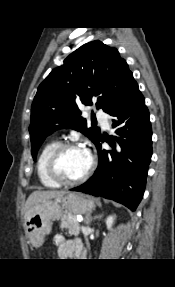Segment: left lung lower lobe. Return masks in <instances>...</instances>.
Here are the masks:
<instances>
[{
    "label": "left lung lower lobe",
    "instance_id": "0a47b994",
    "mask_svg": "<svg viewBox=\"0 0 175 287\" xmlns=\"http://www.w3.org/2000/svg\"><path fill=\"white\" fill-rule=\"evenodd\" d=\"M111 116L117 136L108 140L113 150L96 144L98 167L93 176L73 191L102 196L119 202L134 211L140 203L152 156V129L145 99L135 84L126 102Z\"/></svg>",
    "mask_w": 175,
    "mask_h": 287
}]
</instances>
